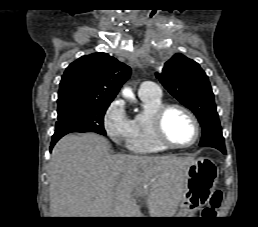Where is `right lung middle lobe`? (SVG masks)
Instances as JSON below:
<instances>
[{"label": "right lung middle lobe", "mask_w": 258, "mask_h": 227, "mask_svg": "<svg viewBox=\"0 0 258 227\" xmlns=\"http://www.w3.org/2000/svg\"><path fill=\"white\" fill-rule=\"evenodd\" d=\"M57 103L58 121L55 132H95L106 135L103 118L110 103L78 97L58 98Z\"/></svg>", "instance_id": "dd1d6c3e"}]
</instances>
